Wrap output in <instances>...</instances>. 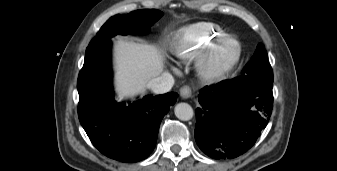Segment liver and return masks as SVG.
<instances>
[{"label":"liver","instance_id":"1","mask_svg":"<svg viewBox=\"0 0 337 171\" xmlns=\"http://www.w3.org/2000/svg\"><path fill=\"white\" fill-rule=\"evenodd\" d=\"M117 100L144 94L148 83L161 75L163 57L153 45L118 39L114 45Z\"/></svg>","mask_w":337,"mask_h":171}]
</instances>
